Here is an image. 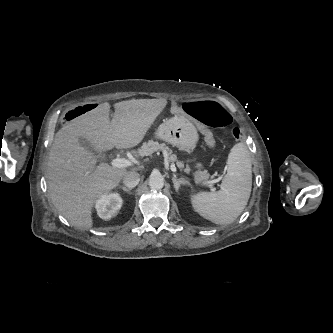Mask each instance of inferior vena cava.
Returning <instances> with one entry per match:
<instances>
[{
	"label": "inferior vena cava",
	"mask_w": 333,
	"mask_h": 333,
	"mask_svg": "<svg viewBox=\"0 0 333 333\" xmlns=\"http://www.w3.org/2000/svg\"><path fill=\"white\" fill-rule=\"evenodd\" d=\"M140 181V175L136 171H129L123 177V184L128 188H134Z\"/></svg>",
	"instance_id": "obj_1"
}]
</instances>
